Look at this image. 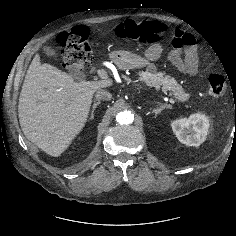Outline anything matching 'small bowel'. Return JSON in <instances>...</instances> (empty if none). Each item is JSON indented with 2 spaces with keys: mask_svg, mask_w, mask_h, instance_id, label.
I'll return each mask as SVG.
<instances>
[{
  "mask_svg": "<svg viewBox=\"0 0 236 236\" xmlns=\"http://www.w3.org/2000/svg\"><path fill=\"white\" fill-rule=\"evenodd\" d=\"M196 44V38L193 34L183 30L175 31L168 58L183 74L193 76L198 71ZM162 50L160 44H153L146 50L144 56L148 61H155L161 56Z\"/></svg>",
  "mask_w": 236,
  "mask_h": 236,
  "instance_id": "obj_1",
  "label": "small bowel"
}]
</instances>
